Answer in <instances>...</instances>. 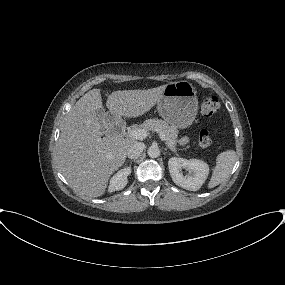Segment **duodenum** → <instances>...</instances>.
I'll use <instances>...</instances> for the list:
<instances>
[{
  "label": "duodenum",
  "mask_w": 285,
  "mask_h": 285,
  "mask_svg": "<svg viewBox=\"0 0 285 285\" xmlns=\"http://www.w3.org/2000/svg\"><path fill=\"white\" fill-rule=\"evenodd\" d=\"M125 132V124L122 120H115L110 125V133L114 136H121Z\"/></svg>",
  "instance_id": "1"
}]
</instances>
